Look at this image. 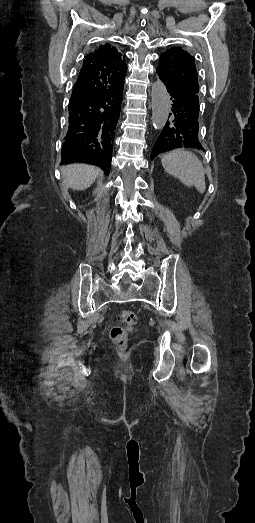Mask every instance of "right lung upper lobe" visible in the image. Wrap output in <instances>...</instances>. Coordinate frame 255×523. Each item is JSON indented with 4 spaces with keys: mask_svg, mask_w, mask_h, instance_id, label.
<instances>
[{
    "mask_svg": "<svg viewBox=\"0 0 255 523\" xmlns=\"http://www.w3.org/2000/svg\"><path fill=\"white\" fill-rule=\"evenodd\" d=\"M125 55L109 44L99 45L85 56L69 101V126L62 146L61 164L83 162L110 171L114 133L120 115L127 66ZM100 100V141L94 153H83V114L79 103Z\"/></svg>",
    "mask_w": 255,
    "mask_h": 523,
    "instance_id": "right-lung-upper-lobe-1",
    "label": "right lung upper lobe"
}]
</instances>
